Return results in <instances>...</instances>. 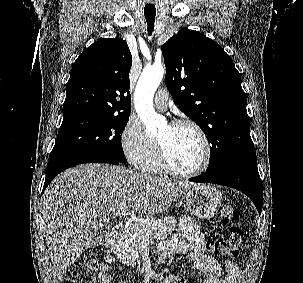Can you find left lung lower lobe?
<instances>
[{
	"instance_id": "left-lung-lower-lobe-1",
	"label": "left lung lower lobe",
	"mask_w": 303,
	"mask_h": 283,
	"mask_svg": "<svg viewBox=\"0 0 303 283\" xmlns=\"http://www.w3.org/2000/svg\"><path fill=\"white\" fill-rule=\"evenodd\" d=\"M199 183H214L235 188L247 195L255 204L259 214L262 211V181L257 168L256 153H248L219 168L206 171L189 179Z\"/></svg>"
}]
</instances>
